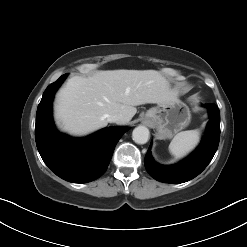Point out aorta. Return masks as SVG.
<instances>
[{"mask_svg":"<svg viewBox=\"0 0 247 247\" xmlns=\"http://www.w3.org/2000/svg\"><path fill=\"white\" fill-rule=\"evenodd\" d=\"M149 129L145 126H138L132 132V139L137 144H145L149 140Z\"/></svg>","mask_w":247,"mask_h":247,"instance_id":"1","label":"aorta"}]
</instances>
